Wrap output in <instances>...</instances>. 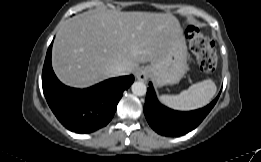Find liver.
Instances as JSON below:
<instances>
[{
  "label": "liver",
  "instance_id": "liver-1",
  "mask_svg": "<svg viewBox=\"0 0 261 162\" xmlns=\"http://www.w3.org/2000/svg\"><path fill=\"white\" fill-rule=\"evenodd\" d=\"M179 31V21L170 13L84 12L58 31L52 67L64 84L88 87L113 77L118 65L131 73L139 63L159 60Z\"/></svg>",
  "mask_w": 261,
  "mask_h": 162
}]
</instances>
